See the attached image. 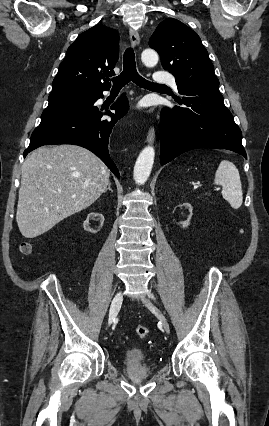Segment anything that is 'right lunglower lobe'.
I'll return each mask as SVG.
<instances>
[{
    "mask_svg": "<svg viewBox=\"0 0 269 426\" xmlns=\"http://www.w3.org/2000/svg\"><path fill=\"white\" fill-rule=\"evenodd\" d=\"M103 91L95 92L93 99L77 110L41 119L40 125L31 135L24 157L43 145H79L96 154L119 178V171L108 152V142L113 126L127 113L129 107L126 97L122 96L111 106L115 114L110 111L103 113L95 105L99 98H103ZM104 115H110L111 118L103 119Z\"/></svg>",
    "mask_w": 269,
    "mask_h": 426,
    "instance_id": "obj_1",
    "label": "right lung lower lobe"
}]
</instances>
